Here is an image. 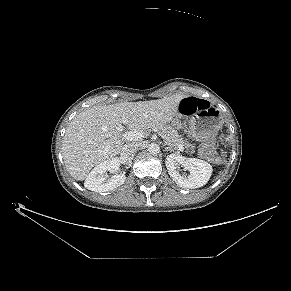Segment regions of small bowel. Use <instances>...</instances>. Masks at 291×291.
Returning a JSON list of instances; mask_svg holds the SVG:
<instances>
[{"instance_id": "small-bowel-1", "label": "small bowel", "mask_w": 291, "mask_h": 291, "mask_svg": "<svg viewBox=\"0 0 291 291\" xmlns=\"http://www.w3.org/2000/svg\"><path fill=\"white\" fill-rule=\"evenodd\" d=\"M182 100H185V101H194V100H197V98H195V97H185ZM180 110H181L182 113H184V111L181 109V107H180Z\"/></svg>"}]
</instances>
